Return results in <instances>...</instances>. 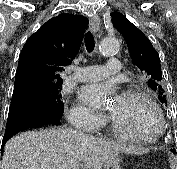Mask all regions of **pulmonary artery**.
Here are the masks:
<instances>
[{"label":"pulmonary artery","mask_w":177,"mask_h":169,"mask_svg":"<svg viewBox=\"0 0 177 169\" xmlns=\"http://www.w3.org/2000/svg\"><path fill=\"white\" fill-rule=\"evenodd\" d=\"M120 67L119 59L110 57L107 61V66L92 65L75 68L74 72L68 76V80L76 82L98 81L110 74L119 72Z\"/></svg>","instance_id":"1"}]
</instances>
